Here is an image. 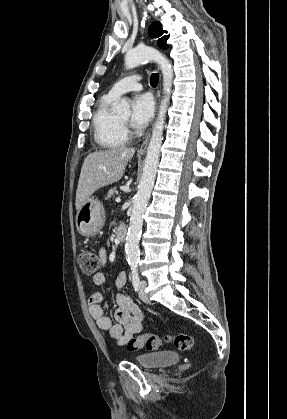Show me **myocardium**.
<instances>
[{
    "instance_id": "f54148a6",
    "label": "myocardium",
    "mask_w": 287,
    "mask_h": 419,
    "mask_svg": "<svg viewBox=\"0 0 287 419\" xmlns=\"http://www.w3.org/2000/svg\"><path fill=\"white\" fill-rule=\"evenodd\" d=\"M118 121H119V124H120L123 128L126 126V122L121 121L119 118H118Z\"/></svg>"
}]
</instances>
